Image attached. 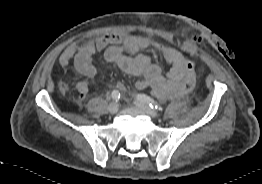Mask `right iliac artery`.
Masks as SVG:
<instances>
[{
    "mask_svg": "<svg viewBox=\"0 0 262 184\" xmlns=\"http://www.w3.org/2000/svg\"><path fill=\"white\" fill-rule=\"evenodd\" d=\"M111 96L112 99L117 102L120 99V92L118 90H113Z\"/></svg>",
    "mask_w": 262,
    "mask_h": 184,
    "instance_id": "82829eb1",
    "label": "right iliac artery"
}]
</instances>
